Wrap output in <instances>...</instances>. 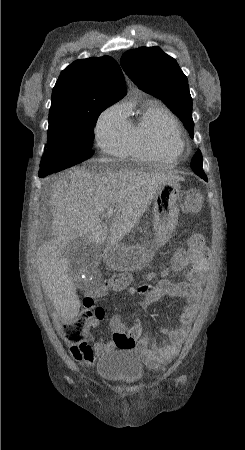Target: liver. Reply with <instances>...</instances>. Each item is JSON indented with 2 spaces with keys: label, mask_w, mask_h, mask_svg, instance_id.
<instances>
[{
  "label": "liver",
  "mask_w": 245,
  "mask_h": 450,
  "mask_svg": "<svg viewBox=\"0 0 245 450\" xmlns=\"http://www.w3.org/2000/svg\"><path fill=\"white\" fill-rule=\"evenodd\" d=\"M170 180L183 178L162 171L81 168L55 181L50 201L54 239L39 247L36 260L42 286L62 317L74 318L80 306L65 254L69 244L82 238L95 246L106 239L109 246L117 244L147 210L159 185ZM111 207L109 230L102 220Z\"/></svg>",
  "instance_id": "obj_1"
}]
</instances>
